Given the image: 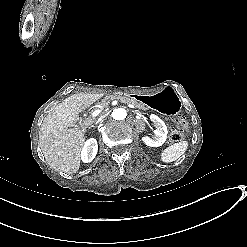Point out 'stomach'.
<instances>
[{
	"instance_id": "0dacf381",
	"label": "stomach",
	"mask_w": 247,
	"mask_h": 247,
	"mask_svg": "<svg viewBox=\"0 0 247 247\" xmlns=\"http://www.w3.org/2000/svg\"><path fill=\"white\" fill-rule=\"evenodd\" d=\"M134 97L145 106L163 114L177 115L181 112V101L176 92L170 87H165L156 93Z\"/></svg>"
}]
</instances>
